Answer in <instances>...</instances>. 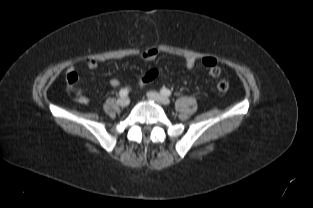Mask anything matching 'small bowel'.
<instances>
[{
    "instance_id": "obj_1",
    "label": "small bowel",
    "mask_w": 313,
    "mask_h": 208,
    "mask_svg": "<svg viewBox=\"0 0 313 208\" xmlns=\"http://www.w3.org/2000/svg\"><path fill=\"white\" fill-rule=\"evenodd\" d=\"M157 50L155 48H148L141 54V58L146 61L154 60L157 56ZM83 64H85L90 69H95L99 65V61L97 59L91 58V57H85L81 60ZM201 63L208 69H210L213 66H217V60L214 57L207 56L202 58ZM196 64V59L193 57H187L185 59V66L189 69L193 68ZM71 77L76 78V84L74 86L70 85V79ZM78 80L79 77L75 71L74 66H70L67 73V83L71 91L74 93L76 100L83 105H86L89 103L90 99L87 95H85L81 89L78 87ZM111 84L114 87H117L119 85V81L115 78L111 79Z\"/></svg>"
}]
</instances>
